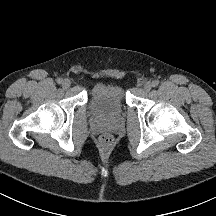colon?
<instances>
[{
    "label": "colon",
    "mask_w": 216,
    "mask_h": 216,
    "mask_svg": "<svg viewBox=\"0 0 216 216\" xmlns=\"http://www.w3.org/2000/svg\"><path fill=\"white\" fill-rule=\"evenodd\" d=\"M113 144V138L109 134H103L99 138V146L106 150L109 149Z\"/></svg>",
    "instance_id": "obj_1"
}]
</instances>
